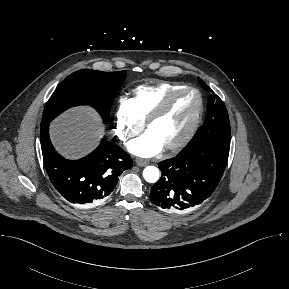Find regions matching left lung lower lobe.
<instances>
[{"mask_svg":"<svg viewBox=\"0 0 289 289\" xmlns=\"http://www.w3.org/2000/svg\"><path fill=\"white\" fill-rule=\"evenodd\" d=\"M230 143L204 142L158 163L161 178L150 192L165 211L186 212L209 198L223 175Z\"/></svg>","mask_w":289,"mask_h":289,"instance_id":"1","label":"left lung lower lobe"}]
</instances>
